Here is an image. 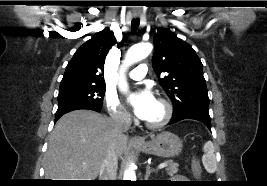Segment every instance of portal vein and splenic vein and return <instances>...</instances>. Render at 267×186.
<instances>
[{
	"instance_id": "1",
	"label": "portal vein and splenic vein",
	"mask_w": 267,
	"mask_h": 186,
	"mask_svg": "<svg viewBox=\"0 0 267 186\" xmlns=\"http://www.w3.org/2000/svg\"><path fill=\"white\" fill-rule=\"evenodd\" d=\"M166 166H167V163L164 162V163H160L159 166H158V168H159V169H162V168H164V167H166Z\"/></svg>"
}]
</instances>
